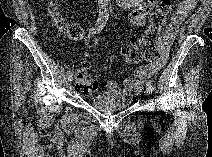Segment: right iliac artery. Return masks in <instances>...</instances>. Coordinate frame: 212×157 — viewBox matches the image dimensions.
<instances>
[{
    "instance_id": "right-iliac-artery-1",
    "label": "right iliac artery",
    "mask_w": 212,
    "mask_h": 157,
    "mask_svg": "<svg viewBox=\"0 0 212 157\" xmlns=\"http://www.w3.org/2000/svg\"><path fill=\"white\" fill-rule=\"evenodd\" d=\"M107 20H108V15L106 14H102L98 17L97 19V22L95 24L94 27H92L90 30H89V33L90 34H98L101 30H103V28L105 27L106 23H107ZM67 75L68 76H71L72 75V71H67Z\"/></svg>"
}]
</instances>
